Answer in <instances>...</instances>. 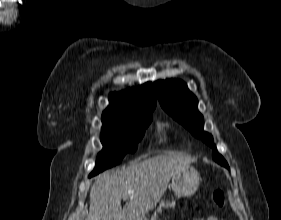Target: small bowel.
Returning <instances> with one entry per match:
<instances>
[{
  "label": "small bowel",
  "mask_w": 281,
  "mask_h": 220,
  "mask_svg": "<svg viewBox=\"0 0 281 220\" xmlns=\"http://www.w3.org/2000/svg\"><path fill=\"white\" fill-rule=\"evenodd\" d=\"M197 220H219V219L214 217V216H210V217L205 218V219H197Z\"/></svg>",
  "instance_id": "1"
}]
</instances>
